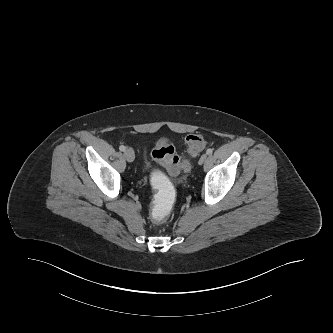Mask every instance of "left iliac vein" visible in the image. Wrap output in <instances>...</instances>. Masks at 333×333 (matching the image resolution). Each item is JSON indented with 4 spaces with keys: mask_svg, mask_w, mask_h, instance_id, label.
<instances>
[{
    "mask_svg": "<svg viewBox=\"0 0 333 333\" xmlns=\"http://www.w3.org/2000/svg\"><path fill=\"white\" fill-rule=\"evenodd\" d=\"M206 160H207V155H206V154H203V155L200 157L198 163H199L200 165H202Z\"/></svg>",
    "mask_w": 333,
    "mask_h": 333,
    "instance_id": "obj_1",
    "label": "left iliac vein"
}]
</instances>
